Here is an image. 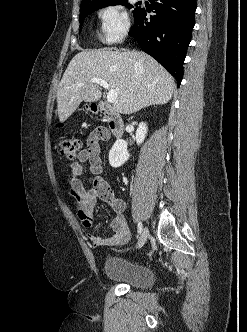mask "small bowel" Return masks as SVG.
I'll return each mask as SVG.
<instances>
[{
	"instance_id": "1",
	"label": "small bowel",
	"mask_w": 247,
	"mask_h": 332,
	"mask_svg": "<svg viewBox=\"0 0 247 332\" xmlns=\"http://www.w3.org/2000/svg\"><path fill=\"white\" fill-rule=\"evenodd\" d=\"M109 139V132L104 127L96 128L87 139V147L80 150L76 160L70 164L68 184L70 193L77 199L80 210L78 212L84 227L91 229L93 221V207L99 198L108 203L115 216L111 221L114 234L109 237H98L88 233L87 238L92 247L116 246L125 244L128 239L127 220L125 217L126 203L115 197L110 185L103 177V164L100 157V142ZM90 164V173L94 176L91 187H86L82 177L83 164ZM84 210V213H82Z\"/></svg>"
}]
</instances>
